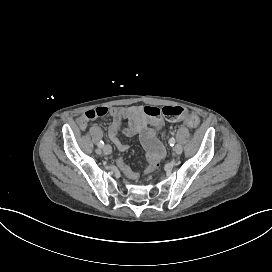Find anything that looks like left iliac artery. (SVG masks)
<instances>
[{
  "mask_svg": "<svg viewBox=\"0 0 272 272\" xmlns=\"http://www.w3.org/2000/svg\"><path fill=\"white\" fill-rule=\"evenodd\" d=\"M169 144H170V146H174L175 145V139L174 138H170Z\"/></svg>",
  "mask_w": 272,
  "mask_h": 272,
  "instance_id": "1",
  "label": "left iliac artery"
}]
</instances>
